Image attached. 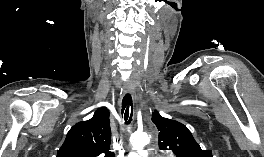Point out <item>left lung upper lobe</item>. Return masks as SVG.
<instances>
[{
  "label": "left lung upper lobe",
  "instance_id": "left-lung-upper-lobe-1",
  "mask_svg": "<svg viewBox=\"0 0 264 157\" xmlns=\"http://www.w3.org/2000/svg\"><path fill=\"white\" fill-rule=\"evenodd\" d=\"M152 121L160 131L161 150H171L176 157H212L211 150H202L182 123L163 118L157 111L153 113Z\"/></svg>",
  "mask_w": 264,
  "mask_h": 157
}]
</instances>
